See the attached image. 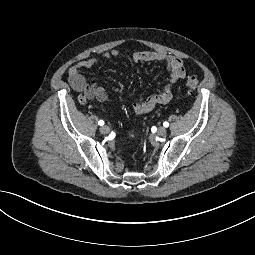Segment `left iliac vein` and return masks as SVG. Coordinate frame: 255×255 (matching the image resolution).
Returning a JSON list of instances; mask_svg holds the SVG:
<instances>
[{
    "label": "left iliac vein",
    "mask_w": 255,
    "mask_h": 255,
    "mask_svg": "<svg viewBox=\"0 0 255 255\" xmlns=\"http://www.w3.org/2000/svg\"><path fill=\"white\" fill-rule=\"evenodd\" d=\"M167 133V130L164 127H159L157 129V134L160 136H164Z\"/></svg>",
    "instance_id": "1"
}]
</instances>
